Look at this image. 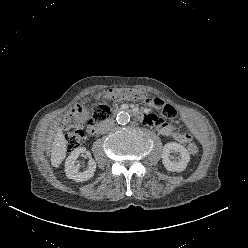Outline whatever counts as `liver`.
<instances>
[{
	"label": "liver",
	"mask_w": 248,
	"mask_h": 248,
	"mask_svg": "<svg viewBox=\"0 0 248 248\" xmlns=\"http://www.w3.org/2000/svg\"><path fill=\"white\" fill-rule=\"evenodd\" d=\"M66 140L61 129H57L51 146V164L53 167H59L66 157Z\"/></svg>",
	"instance_id": "liver-1"
}]
</instances>
